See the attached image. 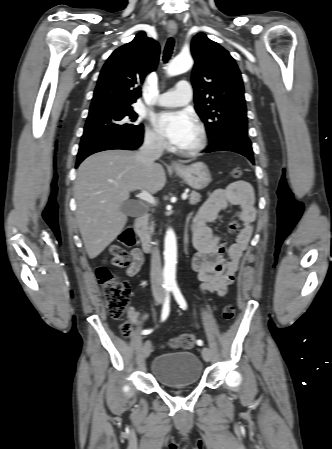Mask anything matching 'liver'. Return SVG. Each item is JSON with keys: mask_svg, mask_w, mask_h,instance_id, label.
I'll use <instances>...</instances> for the list:
<instances>
[{"mask_svg": "<svg viewBox=\"0 0 332 449\" xmlns=\"http://www.w3.org/2000/svg\"><path fill=\"white\" fill-rule=\"evenodd\" d=\"M166 183L160 164L145 166L136 153L110 150L94 154L79 166L74 194L78 227L90 259L115 240L127 223L122 211L130 193L155 194Z\"/></svg>", "mask_w": 332, "mask_h": 449, "instance_id": "6515ba94", "label": "liver"}]
</instances>
